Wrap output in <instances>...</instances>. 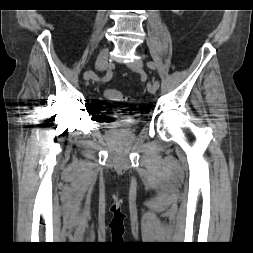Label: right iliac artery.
Segmentation results:
<instances>
[{
	"mask_svg": "<svg viewBox=\"0 0 253 253\" xmlns=\"http://www.w3.org/2000/svg\"><path fill=\"white\" fill-rule=\"evenodd\" d=\"M88 72L91 73V78H92L93 80H98L97 76H96L92 71H88ZM111 77H112L111 72H110V71H107L106 75L102 78V81H103V82H108V81L111 79Z\"/></svg>",
	"mask_w": 253,
	"mask_h": 253,
	"instance_id": "obj_1",
	"label": "right iliac artery"
}]
</instances>
